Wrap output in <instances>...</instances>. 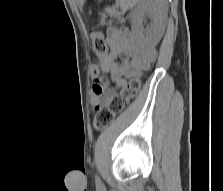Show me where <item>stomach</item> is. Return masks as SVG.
Wrapping results in <instances>:
<instances>
[{
  "instance_id": "1",
  "label": "stomach",
  "mask_w": 223,
  "mask_h": 191,
  "mask_svg": "<svg viewBox=\"0 0 223 191\" xmlns=\"http://www.w3.org/2000/svg\"><path fill=\"white\" fill-rule=\"evenodd\" d=\"M78 1H79V2H82V3L84 2V0H78Z\"/></svg>"
}]
</instances>
